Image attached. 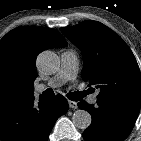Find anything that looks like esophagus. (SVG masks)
<instances>
[{
  "instance_id": "obj_1",
  "label": "esophagus",
  "mask_w": 141,
  "mask_h": 141,
  "mask_svg": "<svg viewBox=\"0 0 141 141\" xmlns=\"http://www.w3.org/2000/svg\"><path fill=\"white\" fill-rule=\"evenodd\" d=\"M68 104H69V107L72 109H76L78 107L77 102H75V101L69 100Z\"/></svg>"
}]
</instances>
